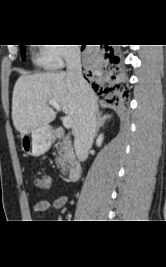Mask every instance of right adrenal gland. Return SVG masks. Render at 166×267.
<instances>
[{
  "label": "right adrenal gland",
  "instance_id": "right-adrenal-gland-1",
  "mask_svg": "<svg viewBox=\"0 0 166 267\" xmlns=\"http://www.w3.org/2000/svg\"><path fill=\"white\" fill-rule=\"evenodd\" d=\"M111 118H112V115H110V114H104L103 115L102 113H99L97 115V124H96L95 136L97 135L99 129L104 126L105 122L107 120H110Z\"/></svg>",
  "mask_w": 166,
  "mask_h": 267
}]
</instances>
